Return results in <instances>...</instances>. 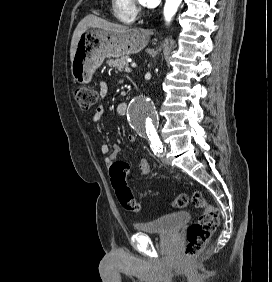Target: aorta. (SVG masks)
I'll list each match as a JSON object with an SVG mask.
<instances>
[{
    "label": "aorta",
    "mask_w": 272,
    "mask_h": 282,
    "mask_svg": "<svg viewBox=\"0 0 272 282\" xmlns=\"http://www.w3.org/2000/svg\"><path fill=\"white\" fill-rule=\"evenodd\" d=\"M182 0H166L164 18L169 23ZM127 119L131 128L138 134L149 139L158 137L156 130V110L153 103L145 95H138L129 104Z\"/></svg>",
    "instance_id": "aorta-1"
}]
</instances>
